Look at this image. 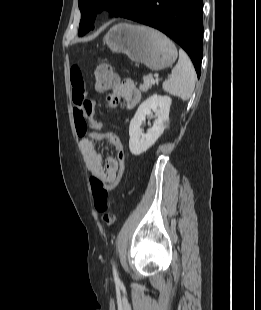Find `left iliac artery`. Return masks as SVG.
Returning <instances> with one entry per match:
<instances>
[{
    "mask_svg": "<svg viewBox=\"0 0 261 310\" xmlns=\"http://www.w3.org/2000/svg\"><path fill=\"white\" fill-rule=\"evenodd\" d=\"M113 275H114V280L116 283H120V279H119V276H118V272H117V269L115 267V265L113 264Z\"/></svg>",
    "mask_w": 261,
    "mask_h": 310,
    "instance_id": "44dca946",
    "label": "left iliac artery"
}]
</instances>
